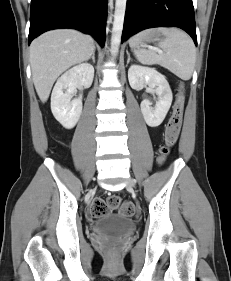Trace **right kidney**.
<instances>
[{
    "instance_id": "obj_1",
    "label": "right kidney",
    "mask_w": 231,
    "mask_h": 281,
    "mask_svg": "<svg viewBox=\"0 0 231 281\" xmlns=\"http://www.w3.org/2000/svg\"><path fill=\"white\" fill-rule=\"evenodd\" d=\"M94 68L81 63L66 71L56 82L51 95V110L58 122L67 129L73 128L82 112V95L71 101L77 88H89L93 82Z\"/></svg>"
}]
</instances>
